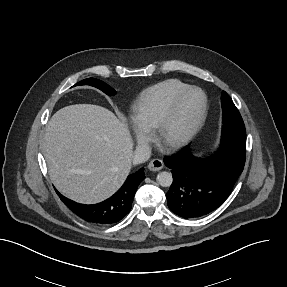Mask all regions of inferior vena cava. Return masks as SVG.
Masks as SVG:
<instances>
[{
  "instance_id": "inferior-vena-cava-1",
  "label": "inferior vena cava",
  "mask_w": 287,
  "mask_h": 287,
  "mask_svg": "<svg viewBox=\"0 0 287 287\" xmlns=\"http://www.w3.org/2000/svg\"><path fill=\"white\" fill-rule=\"evenodd\" d=\"M151 156V148L147 144H141L136 147L133 156V164H140L147 161Z\"/></svg>"
}]
</instances>
